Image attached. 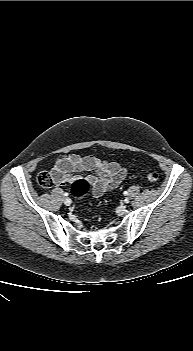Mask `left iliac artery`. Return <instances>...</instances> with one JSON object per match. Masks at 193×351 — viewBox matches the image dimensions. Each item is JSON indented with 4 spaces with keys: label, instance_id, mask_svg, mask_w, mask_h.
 Segmentation results:
<instances>
[{
    "label": "left iliac artery",
    "instance_id": "44dca946",
    "mask_svg": "<svg viewBox=\"0 0 193 351\" xmlns=\"http://www.w3.org/2000/svg\"><path fill=\"white\" fill-rule=\"evenodd\" d=\"M125 196H127L128 195V192L127 191H124V193H123Z\"/></svg>",
    "mask_w": 193,
    "mask_h": 351
}]
</instances>
